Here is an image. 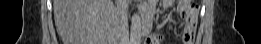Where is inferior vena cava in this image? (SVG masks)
I'll return each instance as SVG.
<instances>
[{"mask_svg": "<svg viewBox=\"0 0 261 44\" xmlns=\"http://www.w3.org/2000/svg\"><path fill=\"white\" fill-rule=\"evenodd\" d=\"M117 11L119 15V36L127 42L129 40V31L126 8L123 6L118 7Z\"/></svg>", "mask_w": 261, "mask_h": 44, "instance_id": "602c4592", "label": "inferior vena cava"}]
</instances>
